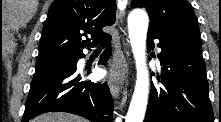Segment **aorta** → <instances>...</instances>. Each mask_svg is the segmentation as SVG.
Returning a JSON list of instances; mask_svg holds the SVG:
<instances>
[{
	"label": "aorta",
	"instance_id": "762f6f07",
	"mask_svg": "<svg viewBox=\"0 0 221 122\" xmlns=\"http://www.w3.org/2000/svg\"><path fill=\"white\" fill-rule=\"evenodd\" d=\"M147 13L134 9L128 16L129 39L134 55L137 78L125 122H143L148 103L149 72L146 63Z\"/></svg>",
	"mask_w": 221,
	"mask_h": 122
}]
</instances>
